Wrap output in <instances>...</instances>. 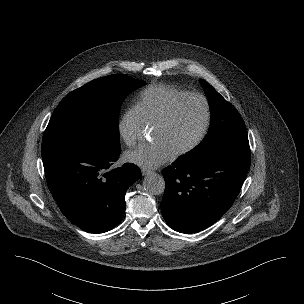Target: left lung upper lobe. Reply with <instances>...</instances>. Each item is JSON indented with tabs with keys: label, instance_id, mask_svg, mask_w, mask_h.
Instances as JSON below:
<instances>
[{
	"label": "left lung upper lobe",
	"instance_id": "left-lung-upper-lobe-1",
	"mask_svg": "<svg viewBox=\"0 0 304 304\" xmlns=\"http://www.w3.org/2000/svg\"><path fill=\"white\" fill-rule=\"evenodd\" d=\"M210 103L211 126L203 141L181 157L189 164H197L226 152L250 153L248 134L243 119L210 84L200 79Z\"/></svg>",
	"mask_w": 304,
	"mask_h": 304
}]
</instances>
